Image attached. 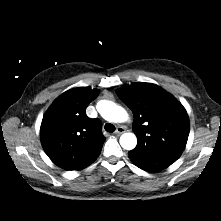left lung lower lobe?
<instances>
[{
  "label": "left lung lower lobe",
  "instance_id": "0a47b994",
  "mask_svg": "<svg viewBox=\"0 0 221 221\" xmlns=\"http://www.w3.org/2000/svg\"><path fill=\"white\" fill-rule=\"evenodd\" d=\"M130 160L139 168L148 172H158L174 163L179 157L170 154L129 151Z\"/></svg>",
  "mask_w": 221,
  "mask_h": 221
}]
</instances>
